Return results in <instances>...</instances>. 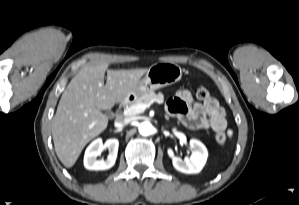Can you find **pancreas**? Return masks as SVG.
Here are the masks:
<instances>
[{
	"label": "pancreas",
	"mask_w": 299,
	"mask_h": 205,
	"mask_svg": "<svg viewBox=\"0 0 299 205\" xmlns=\"http://www.w3.org/2000/svg\"><path fill=\"white\" fill-rule=\"evenodd\" d=\"M163 100H164V96L162 93L159 92L158 94H156L154 92H150V93L140 96L135 101L128 103L127 108H130V107H132L134 105H138V104H150L153 102L162 103Z\"/></svg>",
	"instance_id": "1"
}]
</instances>
